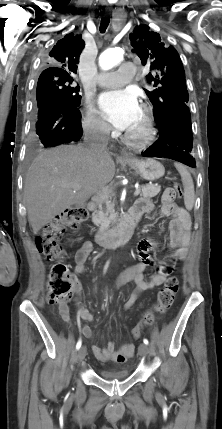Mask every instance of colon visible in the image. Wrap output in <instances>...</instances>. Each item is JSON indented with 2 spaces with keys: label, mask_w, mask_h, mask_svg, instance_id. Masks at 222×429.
I'll list each match as a JSON object with an SVG mask.
<instances>
[{
  "label": "colon",
  "mask_w": 222,
  "mask_h": 429,
  "mask_svg": "<svg viewBox=\"0 0 222 429\" xmlns=\"http://www.w3.org/2000/svg\"><path fill=\"white\" fill-rule=\"evenodd\" d=\"M176 197H183L182 190L177 184L174 187L166 188L162 199L164 202H172ZM86 218L87 211L85 208H68L47 224L42 233L36 237L35 242L38 250L50 260L58 261L52 266L48 279L47 301L51 305L66 306L75 289L73 276L62 262L65 253L59 245V240L66 228H77ZM178 290V279L176 277L168 278L163 288L158 292L153 307L144 313L141 322L133 328V338H139L144 327L152 324L156 315L163 314L173 305Z\"/></svg>",
  "instance_id": "1"
}]
</instances>
